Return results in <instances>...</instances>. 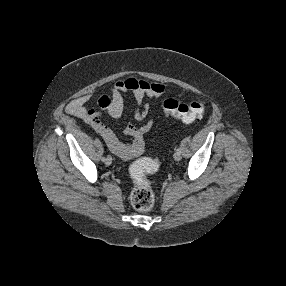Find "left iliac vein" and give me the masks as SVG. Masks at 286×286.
Wrapping results in <instances>:
<instances>
[{
  "label": "left iliac vein",
  "instance_id": "obj_1",
  "mask_svg": "<svg viewBox=\"0 0 286 286\" xmlns=\"http://www.w3.org/2000/svg\"><path fill=\"white\" fill-rule=\"evenodd\" d=\"M173 158H174L176 161L181 160V153L176 151V152L174 153V155H173Z\"/></svg>",
  "mask_w": 286,
  "mask_h": 286
}]
</instances>
